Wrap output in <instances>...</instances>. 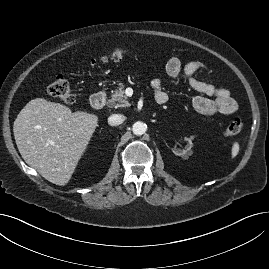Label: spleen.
Instances as JSON below:
<instances>
[{
  "label": "spleen",
  "instance_id": "spleen-1",
  "mask_svg": "<svg viewBox=\"0 0 269 269\" xmlns=\"http://www.w3.org/2000/svg\"><path fill=\"white\" fill-rule=\"evenodd\" d=\"M240 146L238 142H234L232 145V150H231V157L234 158L237 156L239 152Z\"/></svg>",
  "mask_w": 269,
  "mask_h": 269
}]
</instances>
